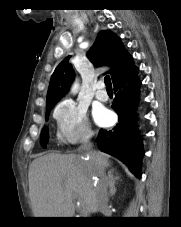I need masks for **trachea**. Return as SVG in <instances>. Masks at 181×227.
I'll use <instances>...</instances> for the list:
<instances>
[{
    "instance_id": "1",
    "label": "trachea",
    "mask_w": 181,
    "mask_h": 227,
    "mask_svg": "<svg viewBox=\"0 0 181 227\" xmlns=\"http://www.w3.org/2000/svg\"><path fill=\"white\" fill-rule=\"evenodd\" d=\"M104 82H105V85H106V89H112V83H111L110 76H108V75L105 76Z\"/></svg>"
}]
</instances>
